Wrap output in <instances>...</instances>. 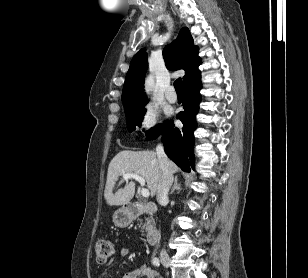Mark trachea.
<instances>
[{
	"label": "trachea",
	"mask_w": 308,
	"mask_h": 278,
	"mask_svg": "<svg viewBox=\"0 0 308 278\" xmlns=\"http://www.w3.org/2000/svg\"><path fill=\"white\" fill-rule=\"evenodd\" d=\"M174 88H175L177 94H183V82H182L181 78H178L174 82Z\"/></svg>",
	"instance_id": "obj_1"
}]
</instances>
